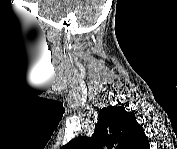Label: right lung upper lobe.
Listing matches in <instances>:
<instances>
[{
	"label": "right lung upper lobe",
	"mask_w": 177,
	"mask_h": 149,
	"mask_svg": "<svg viewBox=\"0 0 177 149\" xmlns=\"http://www.w3.org/2000/svg\"><path fill=\"white\" fill-rule=\"evenodd\" d=\"M148 139L132 112L123 106H109L99 112L91 138L78 136L64 149H145Z\"/></svg>",
	"instance_id": "obj_1"
}]
</instances>
